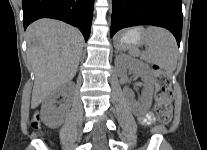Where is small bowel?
<instances>
[{"label": "small bowel", "mask_w": 207, "mask_h": 150, "mask_svg": "<svg viewBox=\"0 0 207 150\" xmlns=\"http://www.w3.org/2000/svg\"><path fill=\"white\" fill-rule=\"evenodd\" d=\"M143 125H149L153 121V115L151 112H148L140 117Z\"/></svg>", "instance_id": "obj_1"}]
</instances>
